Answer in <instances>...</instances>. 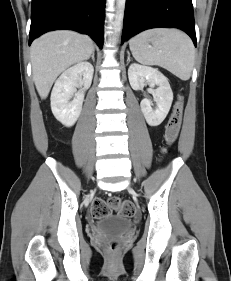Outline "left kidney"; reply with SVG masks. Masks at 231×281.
Returning <instances> with one entry per match:
<instances>
[{
  "instance_id": "obj_1",
  "label": "left kidney",
  "mask_w": 231,
  "mask_h": 281,
  "mask_svg": "<svg viewBox=\"0 0 231 281\" xmlns=\"http://www.w3.org/2000/svg\"><path fill=\"white\" fill-rule=\"evenodd\" d=\"M128 78L134 90H142L146 84L150 87L158 86L157 89L152 91L157 106L152 108L151 101L144 98L140 107L146 122L150 126L160 125L166 118L173 101V92L168 79L158 69L137 63H132L129 66Z\"/></svg>"
}]
</instances>
